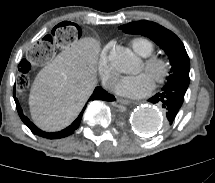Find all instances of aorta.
<instances>
[{"label":"aorta","mask_w":215,"mask_h":183,"mask_svg":"<svg viewBox=\"0 0 215 183\" xmlns=\"http://www.w3.org/2000/svg\"><path fill=\"white\" fill-rule=\"evenodd\" d=\"M109 59L112 67L121 73L130 72L135 61L132 53L124 47L112 51ZM162 124L161 111L152 106L139 107L131 116V125L138 133L153 134L161 129Z\"/></svg>","instance_id":"1"}]
</instances>
